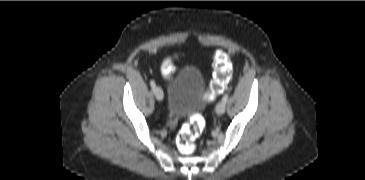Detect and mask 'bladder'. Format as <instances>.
I'll return each mask as SVG.
<instances>
[{"label": "bladder", "mask_w": 365, "mask_h": 180, "mask_svg": "<svg viewBox=\"0 0 365 180\" xmlns=\"http://www.w3.org/2000/svg\"><path fill=\"white\" fill-rule=\"evenodd\" d=\"M206 82L194 66L181 68L168 80L167 111L173 118L201 113L207 104L204 97Z\"/></svg>", "instance_id": "1"}]
</instances>
